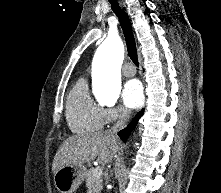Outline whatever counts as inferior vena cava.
Instances as JSON below:
<instances>
[{"label":"inferior vena cava","instance_id":"obj_1","mask_svg":"<svg viewBox=\"0 0 221 193\" xmlns=\"http://www.w3.org/2000/svg\"><path fill=\"white\" fill-rule=\"evenodd\" d=\"M129 118H130V110H128L127 108H121L119 110L118 121L111 128V130H109V132L117 136V133L127 126Z\"/></svg>","mask_w":221,"mask_h":193}]
</instances>
